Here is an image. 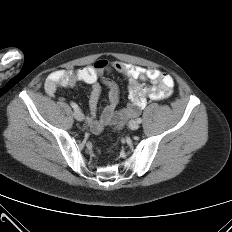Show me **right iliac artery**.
Segmentation results:
<instances>
[{
	"mask_svg": "<svg viewBox=\"0 0 232 232\" xmlns=\"http://www.w3.org/2000/svg\"><path fill=\"white\" fill-rule=\"evenodd\" d=\"M70 105L72 106V108H74V110H79V107L76 103L71 102Z\"/></svg>",
	"mask_w": 232,
	"mask_h": 232,
	"instance_id": "82829eb1",
	"label": "right iliac artery"
}]
</instances>
